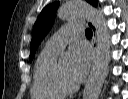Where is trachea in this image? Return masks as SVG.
I'll use <instances>...</instances> for the list:
<instances>
[{"mask_svg":"<svg viewBox=\"0 0 128 99\" xmlns=\"http://www.w3.org/2000/svg\"><path fill=\"white\" fill-rule=\"evenodd\" d=\"M85 34L86 35H91L92 36V30L87 28L86 31H85Z\"/></svg>","mask_w":128,"mask_h":99,"instance_id":"trachea-1","label":"trachea"}]
</instances>
